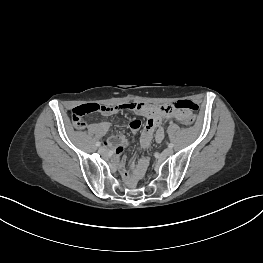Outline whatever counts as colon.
I'll return each mask as SVG.
<instances>
[{
	"instance_id": "obj_1",
	"label": "colon",
	"mask_w": 263,
	"mask_h": 263,
	"mask_svg": "<svg viewBox=\"0 0 263 263\" xmlns=\"http://www.w3.org/2000/svg\"><path fill=\"white\" fill-rule=\"evenodd\" d=\"M176 104H179L182 108L185 105H188L191 108V112L187 115V119L185 122L184 120H182L181 118H176V119H171L167 122V124L170 126L172 123L176 122V123H182L183 125L185 123H187L188 125L194 121L195 116H194V112L198 110V105L191 100H179L177 101L174 106ZM173 106V107H174ZM105 110V107L103 105L100 104H96V103H88V104H83L80 105L76 108L73 109L72 111V118H73V122L75 124V126L79 129H82L83 127V117L85 115L91 114V113H102Z\"/></svg>"
}]
</instances>
